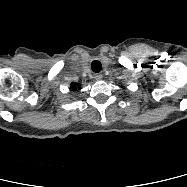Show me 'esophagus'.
I'll use <instances>...</instances> for the list:
<instances>
[{
	"instance_id": "obj_1",
	"label": "esophagus",
	"mask_w": 187,
	"mask_h": 187,
	"mask_svg": "<svg viewBox=\"0 0 187 187\" xmlns=\"http://www.w3.org/2000/svg\"><path fill=\"white\" fill-rule=\"evenodd\" d=\"M95 79H96V80L102 79V74H97V75L95 76Z\"/></svg>"
}]
</instances>
